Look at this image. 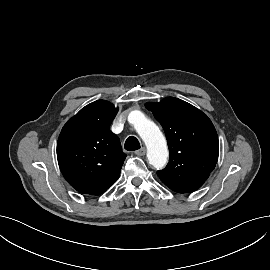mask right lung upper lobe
Listing matches in <instances>:
<instances>
[{"mask_svg":"<svg viewBox=\"0 0 270 270\" xmlns=\"http://www.w3.org/2000/svg\"><path fill=\"white\" fill-rule=\"evenodd\" d=\"M118 108L97 100L67 121L57 142V159L67 182L78 192L99 195L118 178L126 154L110 124Z\"/></svg>","mask_w":270,"mask_h":270,"instance_id":"obj_1","label":"right lung upper lobe"}]
</instances>
